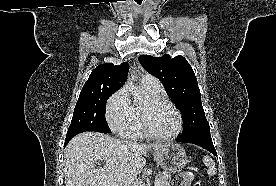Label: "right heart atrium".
<instances>
[{
	"instance_id": "d8ad5b80",
	"label": "right heart atrium",
	"mask_w": 276,
	"mask_h": 186,
	"mask_svg": "<svg viewBox=\"0 0 276 186\" xmlns=\"http://www.w3.org/2000/svg\"><path fill=\"white\" fill-rule=\"evenodd\" d=\"M106 119L110 128L122 135L130 133L136 125V115L127 87L116 91L106 105Z\"/></svg>"
}]
</instances>
